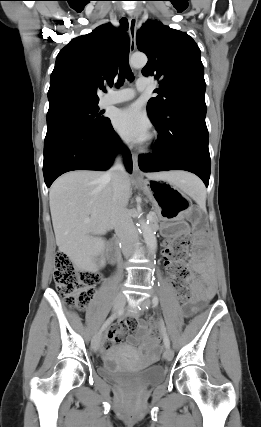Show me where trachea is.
<instances>
[{
    "label": "trachea",
    "mask_w": 261,
    "mask_h": 427,
    "mask_svg": "<svg viewBox=\"0 0 261 427\" xmlns=\"http://www.w3.org/2000/svg\"><path fill=\"white\" fill-rule=\"evenodd\" d=\"M126 21H127L126 18H122V20L120 22L122 25H124L126 23ZM125 78H127L128 80H133V74H132L130 66H129V49H128V47L125 48L123 55H122V58H121V61H120L117 86H121L124 83Z\"/></svg>",
    "instance_id": "3493384b"
}]
</instances>
